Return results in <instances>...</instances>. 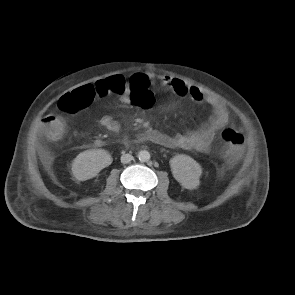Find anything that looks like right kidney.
Here are the masks:
<instances>
[{
  "label": "right kidney",
  "instance_id": "ca27d5eb",
  "mask_svg": "<svg viewBox=\"0 0 295 295\" xmlns=\"http://www.w3.org/2000/svg\"><path fill=\"white\" fill-rule=\"evenodd\" d=\"M112 163L110 153L104 149H91L81 152L73 160L71 170L75 178L85 181L98 175V173Z\"/></svg>",
  "mask_w": 295,
  "mask_h": 295
}]
</instances>
